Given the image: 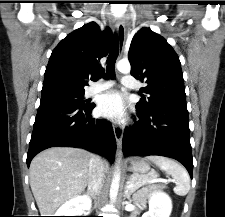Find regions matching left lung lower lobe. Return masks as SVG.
I'll return each instance as SVG.
<instances>
[{"label": "left lung lower lobe", "mask_w": 225, "mask_h": 217, "mask_svg": "<svg viewBox=\"0 0 225 217\" xmlns=\"http://www.w3.org/2000/svg\"><path fill=\"white\" fill-rule=\"evenodd\" d=\"M139 121L126 128L123 153L160 155L174 158L188 170L191 178L193 160L190 145L189 118L186 106H158L150 111L138 109Z\"/></svg>", "instance_id": "1"}]
</instances>
